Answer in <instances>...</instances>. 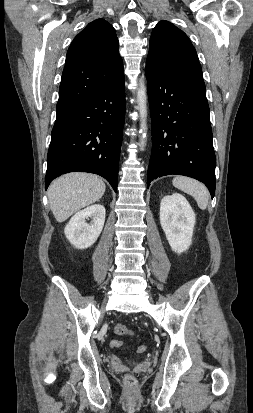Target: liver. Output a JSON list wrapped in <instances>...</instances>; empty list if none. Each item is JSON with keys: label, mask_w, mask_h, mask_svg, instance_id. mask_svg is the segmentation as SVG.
Instances as JSON below:
<instances>
[{"label": "liver", "mask_w": 253, "mask_h": 413, "mask_svg": "<svg viewBox=\"0 0 253 413\" xmlns=\"http://www.w3.org/2000/svg\"><path fill=\"white\" fill-rule=\"evenodd\" d=\"M105 188L98 176L83 172L55 179L48 189V200L56 221L64 222L78 210L98 201Z\"/></svg>", "instance_id": "6515ba94"}]
</instances>
